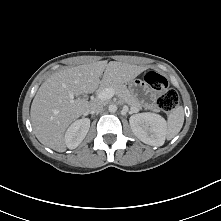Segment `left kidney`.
I'll list each match as a JSON object with an SVG mask.
<instances>
[{"label":"left kidney","mask_w":221,"mask_h":221,"mask_svg":"<svg viewBox=\"0 0 221 221\" xmlns=\"http://www.w3.org/2000/svg\"><path fill=\"white\" fill-rule=\"evenodd\" d=\"M129 123L134 135L143 143L151 146H162L166 137V121L159 114L139 113L132 115Z\"/></svg>","instance_id":"obj_1"}]
</instances>
